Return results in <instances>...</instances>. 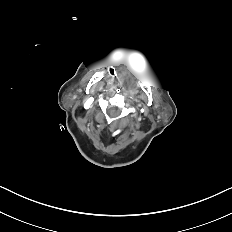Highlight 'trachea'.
<instances>
[{
    "instance_id": "3493384b",
    "label": "trachea",
    "mask_w": 232,
    "mask_h": 232,
    "mask_svg": "<svg viewBox=\"0 0 232 232\" xmlns=\"http://www.w3.org/2000/svg\"><path fill=\"white\" fill-rule=\"evenodd\" d=\"M108 73H109V76H110L111 78H115V77H116V72H115L114 69L111 68V69L109 70Z\"/></svg>"
}]
</instances>
